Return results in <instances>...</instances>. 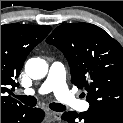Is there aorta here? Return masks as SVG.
Listing matches in <instances>:
<instances>
[{
    "instance_id": "obj_1",
    "label": "aorta",
    "mask_w": 123,
    "mask_h": 123,
    "mask_svg": "<svg viewBox=\"0 0 123 123\" xmlns=\"http://www.w3.org/2000/svg\"><path fill=\"white\" fill-rule=\"evenodd\" d=\"M25 72L31 79H42L48 73V64L44 59L31 58L25 64Z\"/></svg>"
}]
</instances>
